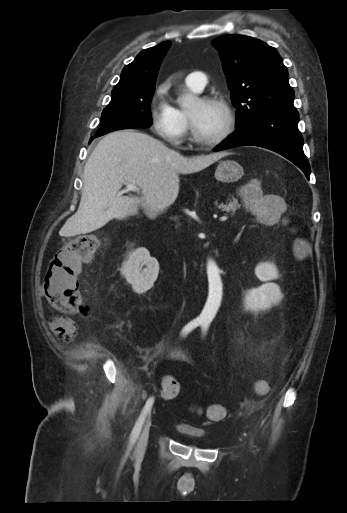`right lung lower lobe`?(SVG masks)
<instances>
[{"instance_id": "right-lung-lower-lobe-1", "label": "right lung lower lobe", "mask_w": 347, "mask_h": 513, "mask_svg": "<svg viewBox=\"0 0 347 513\" xmlns=\"http://www.w3.org/2000/svg\"><path fill=\"white\" fill-rule=\"evenodd\" d=\"M99 137L98 135H95L90 141H92L94 138Z\"/></svg>"}]
</instances>
